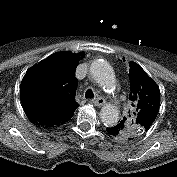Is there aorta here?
Here are the masks:
<instances>
[{
    "label": "aorta",
    "mask_w": 177,
    "mask_h": 177,
    "mask_svg": "<svg viewBox=\"0 0 177 177\" xmlns=\"http://www.w3.org/2000/svg\"><path fill=\"white\" fill-rule=\"evenodd\" d=\"M90 73L93 79L105 91L115 88V74L112 66L105 60H95L90 65ZM100 118L104 125L114 126L119 120V109L116 106L107 104L100 111Z\"/></svg>",
    "instance_id": "aorta-1"
}]
</instances>
